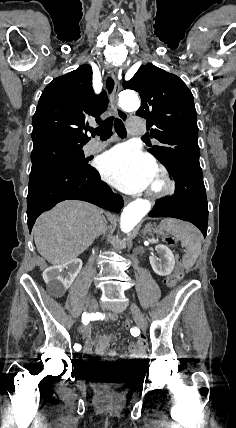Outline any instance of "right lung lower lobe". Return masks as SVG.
Returning <instances> with one entry per match:
<instances>
[{
  "instance_id": "right-lung-lower-lobe-1",
  "label": "right lung lower lobe",
  "mask_w": 236,
  "mask_h": 428,
  "mask_svg": "<svg viewBox=\"0 0 236 428\" xmlns=\"http://www.w3.org/2000/svg\"><path fill=\"white\" fill-rule=\"evenodd\" d=\"M67 199L87 201L116 213L120 212L124 206L122 197L112 192L92 166L87 165L82 168L68 165L50 167L30 173L27 196L30 232L35 220L41 213Z\"/></svg>"
}]
</instances>
